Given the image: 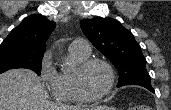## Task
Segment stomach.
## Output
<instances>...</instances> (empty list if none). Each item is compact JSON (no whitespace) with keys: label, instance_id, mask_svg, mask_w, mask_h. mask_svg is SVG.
I'll return each mask as SVG.
<instances>
[{"label":"stomach","instance_id":"0dacf381","mask_svg":"<svg viewBox=\"0 0 171 110\" xmlns=\"http://www.w3.org/2000/svg\"><path fill=\"white\" fill-rule=\"evenodd\" d=\"M89 110H116L115 108H109V107H106V106H97V107H93Z\"/></svg>","mask_w":171,"mask_h":110}]
</instances>
